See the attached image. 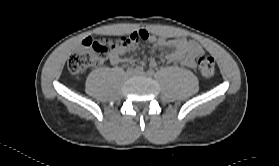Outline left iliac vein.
Wrapping results in <instances>:
<instances>
[{
	"label": "left iliac vein",
	"mask_w": 279,
	"mask_h": 166,
	"mask_svg": "<svg viewBox=\"0 0 279 166\" xmlns=\"http://www.w3.org/2000/svg\"><path fill=\"white\" fill-rule=\"evenodd\" d=\"M136 74H137V75H141V76L146 75V73H145V72H136Z\"/></svg>",
	"instance_id": "left-iliac-vein-1"
}]
</instances>
